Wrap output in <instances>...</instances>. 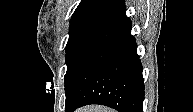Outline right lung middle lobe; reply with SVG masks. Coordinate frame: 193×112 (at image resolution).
<instances>
[{"mask_svg": "<svg viewBox=\"0 0 193 112\" xmlns=\"http://www.w3.org/2000/svg\"><path fill=\"white\" fill-rule=\"evenodd\" d=\"M66 45L67 72L65 75L66 98L90 58L116 33L98 28H81L69 31Z\"/></svg>", "mask_w": 193, "mask_h": 112, "instance_id": "1", "label": "right lung middle lobe"}]
</instances>
